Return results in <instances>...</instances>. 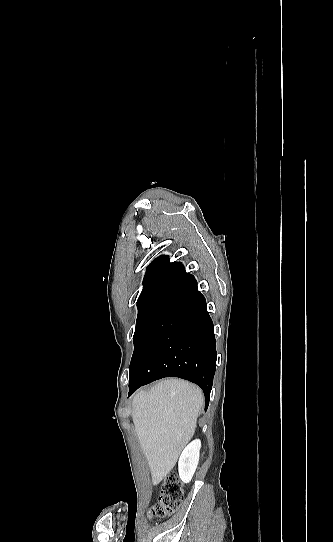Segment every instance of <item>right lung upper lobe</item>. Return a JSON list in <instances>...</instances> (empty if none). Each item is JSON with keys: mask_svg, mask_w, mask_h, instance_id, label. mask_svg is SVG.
<instances>
[{"mask_svg": "<svg viewBox=\"0 0 333 542\" xmlns=\"http://www.w3.org/2000/svg\"><path fill=\"white\" fill-rule=\"evenodd\" d=\"M190 274L168 262V256H160L148 266L143 280V290L137 304L160 302Z\"/></svg>", "mask_w": 333, "mask_h": 542, "instance_id": "right-lung-upper-lobe-1", "label": "right lung upper lobe"}]
</instances>
